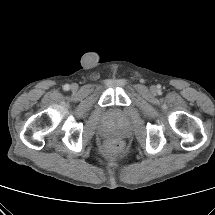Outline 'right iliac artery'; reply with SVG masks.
<instances>
[{
	"instance_id": "1",
	"label": "right iliac artery",
	"mask_w": 215,
	"mask_h": 215,
	"mask_svg": "<svg viewBox=\"0 0 215 215\" xmlns=\"http://www.w3.org/2000/svg\"><path fill=\"white\" fill-rule=\"evenodd\" d=\"M70 89V86L68 84L64 85V90H69Z\"/></svg>"
}]
</instances>
